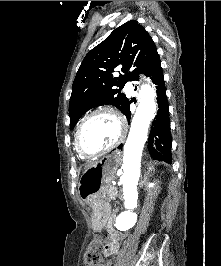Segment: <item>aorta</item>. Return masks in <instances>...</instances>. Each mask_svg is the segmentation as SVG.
Returning a JSON list of instances; mask_svg holds the SVG:
<instances>
[{"label":"aorta","instance_id":"aorta-1","mask_svg":"<svg viewBox=\"0 0 221 266\" xmlns=\"http://www.w3.org/2000/svg\"><path fill=\"white\" fill-rule=\"evenodd\" d=\"M155 89L149 84L141 86L139 104L132 119L128 138L124 145L123 174L120 181L123 184L124 205L127 211L122 212L116 221L120 230H126L136 222L133 209L137 206V185L140 177L142 151L147 140L148 129L157 112Z\"/></svg>","mask_w":221,"mask_h":266}]
</instances>
